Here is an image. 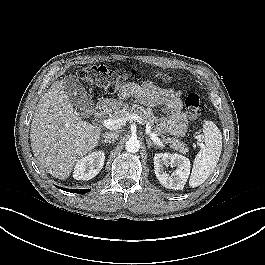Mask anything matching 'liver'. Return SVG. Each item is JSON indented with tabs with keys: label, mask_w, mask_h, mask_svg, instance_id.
<instances>
[{
	"label": "liver",
	"mask_w": 265,
	"mask_h": 265,
	"mask_svg": "<svg viewBox=\"0 0 265 265\" xmlns=\"http://www.w3.org/2000/svg\"><path fill=\"white\" fill-rule=\"evenodd\" d=\"M101 128L82 120L62 81L54 82L34 113L30 141L34 156L58 179L69 177L75 164L100 140Z\"/></svg>",
	"instance_id": "6515ba94"
}]
</instances>
